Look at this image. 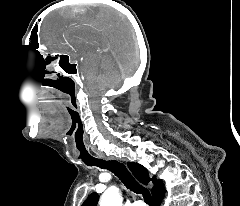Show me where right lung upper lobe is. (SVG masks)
<instances>
[{
    "instance_id": "right-lung-upper-lobe-1",
    "label": "right lung upper lobe",
    "mask_w": 240,
    "mask_h": 206,
    "mask_svg": "<svg viewBox=\"0 0 240 206\" xmlns=\"http://www.w3.org/2000/svg\"><path fill=\"white\" fill-rule=\"evenodd\" d=\"M127 165L130 171L136 177V179L142 184L147 185L150 181L153 182L154 187L151 191L153 198L165 193L163 182L161 180H157L155 177L150 178L148 171L145 169V167L134 162H128ZM98 199V194L94 192L85 200L82 206H96Z\"/></svg>"
}]
</instances>
